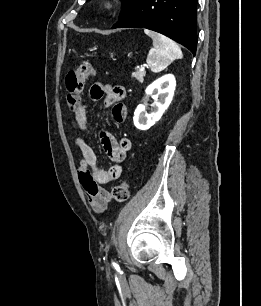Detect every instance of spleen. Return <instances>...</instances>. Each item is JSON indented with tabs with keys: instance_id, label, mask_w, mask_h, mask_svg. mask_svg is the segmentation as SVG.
<instances>
[{
	"instance_id": "1",
	"label": "spleen",
	"mask_w": 261,
	"mask_h": 306,
	"mask_svg": "<svg viewBox=\"0 0 261 306\" xmlns=\"http://www.w3.org/2000/svg\"><path fill=\"white\" fill-rule=\"evenodd\" d=\"M144 32L153 40V48L149 51L146 59L152 72L158 73L168 67L175 59L183 57L180 47L170 38L149 29H145Z\"/></svg>"
}]
</instances>
